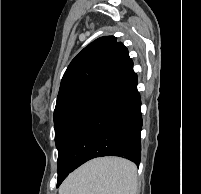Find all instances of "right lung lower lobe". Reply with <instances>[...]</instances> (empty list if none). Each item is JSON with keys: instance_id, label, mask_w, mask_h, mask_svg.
Segmentation results:
<instances>
[{"instance_id": "98d812e1", "label": "right lung lower lobe", "mask_w": 201, "mask_h": 194, "mask_svg": "<svg viewBox=\"0 0 201 194\" xmlns=\"http://www.w3.org/2000/svg\"><path fill=\"white\" fill-rule=\"evenodd\" d=\"M141 99L137 74L131 73L81 109L58 146L57 187L74 169L101 156H120L139 165Z\"/></svg>"}]
</instances>
